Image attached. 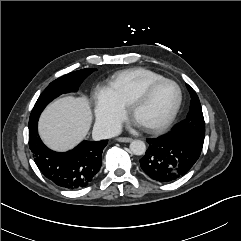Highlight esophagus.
<instances>
[{
  "mask_svg": "<svg viewBox=\"0 0 241 241\" xmlns=\"http://www.w3.org/2000/svg\"><path fill=\"white\" fill-rule=\"evenodd\" d=\"M117 141L128 143V142L132 141V138H130V137H119V138H117Z\"/></svg>",
  "mask_w": 241,
  "mask_h": 241,
  "instance_id": "obj_1",
  "label": "esophagus"
}]
</instances>
